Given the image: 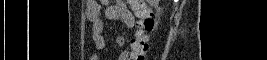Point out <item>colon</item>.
<instances>
[{
    "mask_svg": "<svg viewBox=\"0 0 267 60\" xmlns=\"http://www.w3.org/2000/svg\"><path fill=\"white\" fill-rule=\"evenodd\" d=\"M131 7L140 26L135 32L131 50L132 60H144L150 49V35L155 29L154 10L148 6V1L131 0Z\"/></svg>",
    "mask_w": 267,
    "mask_h": 60,
    "instance_id": "5ec220e1",
    "label": "colon"
}]
</instances>
